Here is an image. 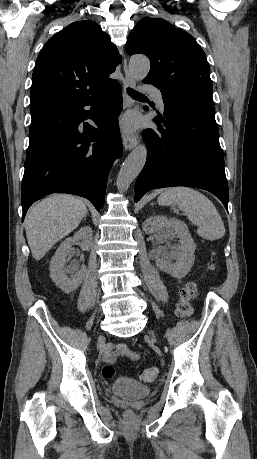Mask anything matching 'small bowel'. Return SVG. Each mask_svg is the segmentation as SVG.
<instances>
[{
  "label": "small bowel",
  "instance_id": "small-bowel-1",
  "mask_svg": "<svg viewBox=\"0 0 257 459\" xmlns=\"http://www.w3.org/2000/svg\"><path fill=\"white\" fill-rule=\"evenodd\" d=\"M120 356H127L132 360L138 359L139 354L127 348L124 344L110 345L107 347L104 358L106 362L113 363Z\"/></svg>",
  "mask_w": 257,
  "mask_h": 459
}]
</instances>
